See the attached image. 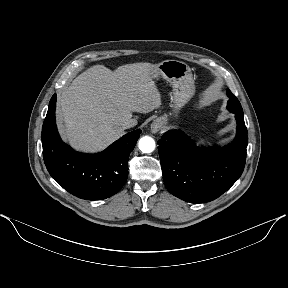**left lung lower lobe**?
Masks as SVG:
<instances>
[{"mask_svg":"<svg viewBox=\"0 0 288 288\" xmlns=\"http://www.w3.org/2000/svg\"><path fill=\"white\" fill-rule=\"evenodd\" d=\"M235 114L234 141L222 148H199L182 131L166 132L158 152L166 188L191 203L212 201L241 176L246 162L247 128L242 114Z\"/></svg>","mask_w":288,"mask_h":288,"instance_id":"left-lung-lower-lobe-1","label":"left lung lower lobe"}]
</instances>
